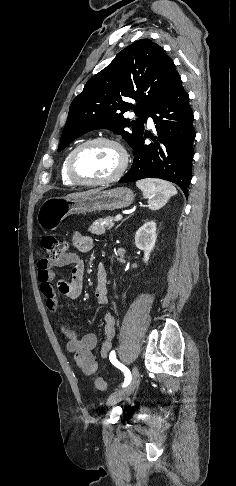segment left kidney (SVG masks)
<instances>
[{
  "mask_svg": "<svg viewBox=\"0 0 236 486\" xmlns=\"http://www.w3.org/2000/svg\"><path fill=\"white\" fill-rule=\"evenodd\" d=\"M156 223L154 221L146 222L138 229L135 234L136 247L144 251L143 261L148 262L156 242Z\"/></svg>",
  "mask_w": 236,
  "mask_h": 486,
  "instance_id": "left-kidney-1",
  "label": "left kidney"
}]
</instances>
